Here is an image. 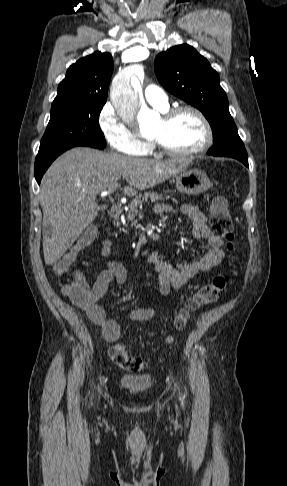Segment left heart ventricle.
Returning a JSON list of instances; mask_svg holds the SVG:
<instances>
[{"label": "left heart ventricle", "instance_id": "b2bd125f", "mask_svg": "<svg viewBox=\"0 0 287 486\" xmlns=\"http://www.w3.org/2000/svg\"><path fill=\"white\" fill-rule=\"evenodd\" d=\"M150 138L159 140L173 150H191L203 143L204 128L194 114L183 113L170 122L159 119Z\"/></svg>", "mask_w": 287, "mask_h": 486}]
</instances>
